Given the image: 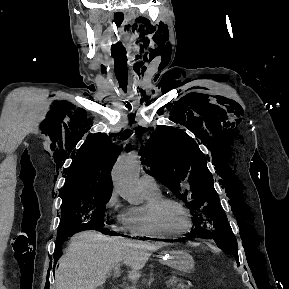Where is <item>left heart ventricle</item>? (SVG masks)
I'll use <instances>...</instances> for the list:
<instances>
[{"mask_svg":"<svg viewBox=\"0 0 289 289\" xmlns=\"http://www.w3.org/2000/svg\"><path fill=\"white\" fill-rule=\"evenodd\" d=\"M159 222L165 230L176 233L186 228L188 217L178 205L167 204L160 210Z\"/></svg>","mask_w":289,"mask_h":289,"instance_id":"obj_1","label":"left heart ventricle"}]
</instances>
